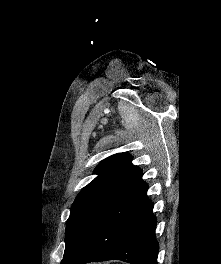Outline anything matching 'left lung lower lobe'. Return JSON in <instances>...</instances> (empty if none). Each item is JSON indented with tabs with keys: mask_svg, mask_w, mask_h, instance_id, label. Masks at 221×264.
I'll use <instances>...</instances> for the list:
<instances>
[{
	"mask_svg": "<svg viewBox=\"0 0 221 264\" xmlns=\"http://www.w3.org/2000/svg\"><path fill=\"white\" fill-rule=\"evenodd\" d=\"M142 182L114 207L60 264L121 260L131 264H157L156 217Z\"/></svg>",
	"mask_w": 221,
	"mask_h": 264,
	"instance_id": "1",
	"label": "left lung lower lobe"
}]
</instances>
